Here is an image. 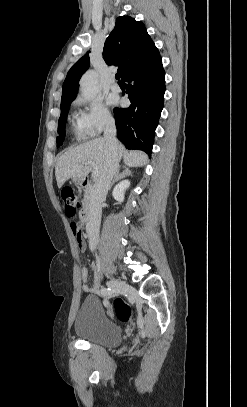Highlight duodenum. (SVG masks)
<instances>
[{
	"label": "duodenum",
	"mask_w": 247,
	"mask_h": 407,
	"mask_svg": "<svg viewBox=\"0 0 247 407\" xmlns=\"http://www.w3.org/2000/svg\"><path fill=\"white\" fill-rule=\"evenodd\" d=\"M85 187H90L91 183L88 179L84 181ZM93 207L91 205H85L80 211V220L83 224H88L92 217Z\"/></svg>",
	"instance_id": "obj_1"
}]
</instances>
